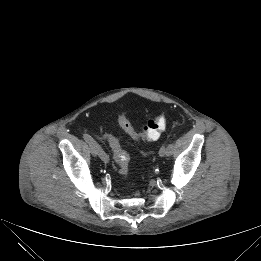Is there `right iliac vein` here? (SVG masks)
I'll return each mask as SVG.
<instances>
[{
  "label": "right iliac vein",
  "instance_id": "1",
  "mask_svg": "<svg viewBox=\"0 0 261 261\" xmlns=\"http://www.w3.org/2000/svg\"><path fill=\"white\" fill-rule=\"evenodd\" d=\"M88 148H89V152L92 155V157L95 158V157L98 156V153H97L96 149L92 145L89 144Z\"/></svg>",
  "mask_w": 261,
  "mask_h": 261
}]
</instances>
